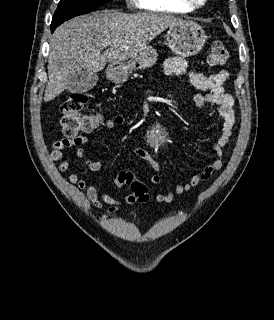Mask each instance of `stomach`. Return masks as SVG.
<instances>
[{"label": "stomach", "mask_w": 274, "mask_h": 320, "mask_svg": "<svg viewBox=\"0 0 274 320\" xmlns=\"http://www.w3.org/2000/svg\"><path fill=\"white\" fill-rule=\"evenodd\" d=\"M206 42L205 32L202 26L190 20H179L175 26H170L167 32V46L173 54L177 56H195L199 54ZM158 60L156 50L147 46L137 54L136 58H131L127 64H110L106 74L115 84H122L128 80L132 70H146L152 68Z\"/></svg>", "instance_id": "stomach-1"}]
</instances>
